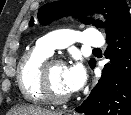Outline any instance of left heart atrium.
I'll return each mask as SVG.
<instances>
[{
	"instance_id": "left-heart-atrium-1",
	"label": "left heart atrium",
	"mask_w": 131,
	"mask_h": 115,
	"mask_svg": "<svg viewBox=\"0 0 131 115\" xmlns=\"http://www.w3.org/2000/svg\"><path fill=\"white\" fill-rule=\"evenodd\" d=\"M64 84L68 92L76 91L84 81V71L81 65L76 64L64 69Z\"/></svg>"
}]
</instances>
